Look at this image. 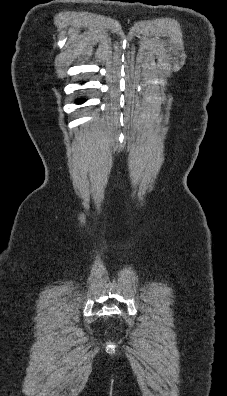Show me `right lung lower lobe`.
<instances>
[{
  "mask_svg": "<svg viewBox=\"0 0 227 396\" xmlns=\"http://www.w3.org/2000/svg\"><path fill=\"white\" fill-rule=\"evenodd\" d=\"M84 101H85V99H79V100H77V103H82Z\"/></svg>",
  "mask_w": 227,
  "mask_h": 396,
  "instance_id": "98d812e1",
  "label": "right lung lower lobe"
}]
</instances>
